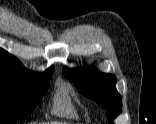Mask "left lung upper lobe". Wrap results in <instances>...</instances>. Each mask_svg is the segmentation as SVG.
<instances>
[{"instance_id":"1","label":"left lung upper lobe","mask_w":156,"mask_h":124,"mask_svg":"<svg viewBox=\"0 0 156 124\" xmlns=\"http://www.w3.org/2000/svg\"><path fill=\"white\" fill-rule=\"evenodd\" d=\"M65 76L72 80L83 95L95 99L106 108L107 118L113 124L114 118L122 110V97L116 90V77L101 73L93 67L69 69L64 67Z\"/></svg>"}]
</instances>
